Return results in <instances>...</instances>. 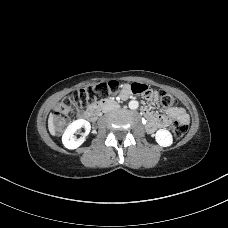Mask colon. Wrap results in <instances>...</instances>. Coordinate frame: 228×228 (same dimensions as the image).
<instances>
[{"mask_svg": "<svg viewBox=\"0 0 228 228\" xmlns=\"http://www.w3.org/2000/svg\"><path fill=\"white\" fill-rule=\"evenodd\" d=\"M119 85V81L110 80L92 87L81 88L65 97L58 103L53 113V124L57 131L60 132L68 124L70 115L75 107H82L92 102L95 98L101 97L105 91L118 88ZM131 90L134 94L142 95L147 98H150L152 94L151 89L142 83H133ZM158 94L159 104L162 109H169L176 106L177 99L174 96L166 91H160ZM171 131L176 138H182L187 132V126L179 121H174L171 124Z\"/></svg>", "mask_w": 228, "mask_h": 228, "instance_id": "5ec220e1", "label": "colon"}]
</instances>
